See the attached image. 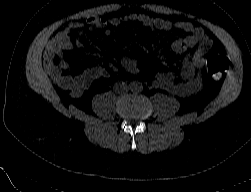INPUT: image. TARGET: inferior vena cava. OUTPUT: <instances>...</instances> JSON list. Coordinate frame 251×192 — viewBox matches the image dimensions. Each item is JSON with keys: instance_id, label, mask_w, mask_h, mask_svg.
<instances>
[{"instance_id": "602c4592", "label": "inferior vena cava", "mask_w": 251, "mask_h": 192, "mask_svg": "<svg viewBox=\"0 0 251 192\" xmlns=\"http://www.w3.org/2000/svg\"><path fill=\"white\" fill-rule=\"evenodd\" d=\"M119 86H121V84L120 83H116L115 86H114V89L116 91H119Z\"/></svg>"}]
</instances>
